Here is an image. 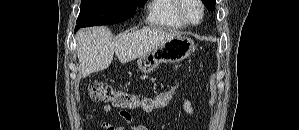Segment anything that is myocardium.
<instances>
[{
  "label": "myocardium",
  "instance_id": "1",
  "mask_svg": "<svg viewBox=\"0 0 299 130\" xmlns=\"http://www.w3.org/2000/svg\"><path fill=\"white\" fill-rule=\"evenodd\" d=\"M191 2L195 3L199 7V10H200V18L196 22L190 20L189 17L187 16V13H186L187 6ZM179 15H180L181 19L187 25L197 26V25L201 24L203 19H204V6H203V3L200 0H180Z\"/></svg>",
  "mask_w": 299,
  "mask_h": 130
}]
</instances>
